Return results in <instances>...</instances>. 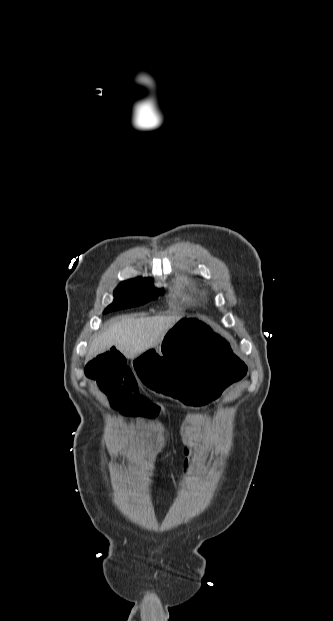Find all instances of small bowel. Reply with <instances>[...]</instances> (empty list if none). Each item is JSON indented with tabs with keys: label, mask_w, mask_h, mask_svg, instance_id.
<instances>
[{
	"label": "small bowel",
	"mask_w": 333,
	"mask_h": 621,
	"mask_svg": "<svg viewBox=\"0 0 333 621\" xmlns=\"http://www.w3.org/2000/svg\"><path fill=\"white\" fill-rule=\"evenodd\" d=\"M85 376L96 383L113 409L128 417L144 419L157 418L162 409L145 396L139 394L138 384L127 358L112 347L91 358L84 369ZM189 453L185 450V454Z\"/></svg>",
	"instance_id": "obj_1"
}]
</instances>
